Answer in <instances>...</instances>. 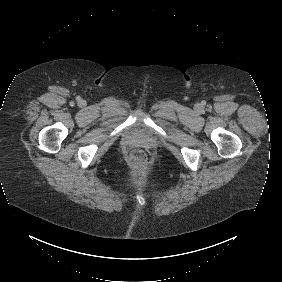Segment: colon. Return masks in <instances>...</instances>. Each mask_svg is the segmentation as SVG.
I'll use <instances>...</instances> for the list:
<instances>
[{
	"label": "colon",
	"instance_id": "obj_1",
	"mask_svg": "<svg viewBox=\"0 0 282 282\" xmlns=\"http://www.w3.org/2000/svg\"><path fill=\"white\" fill-rule=\"evenodd\" d=\"M132 166L137 171H144L149 166V153L143 147H136L130 153Z\"/></svg>",
	"mask_w": 282,
	"mask_h": 282
}]
</instances>
